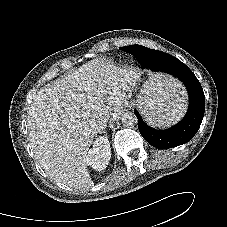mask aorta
<instances>
[{
    "instance_id": "obj_1",
    "label": "aorta",
    "mask_w": 227,
    "mask_h": 227,
    "mask_svg": "<svg viewBox=\"0 0 227 227\" xmlns=\"http://www.w3.org/2000/svg\"><path fill=\"white\" fill-rule=\"evenodd\" d=\"M122 124L126 127H133L137 124V117L133 112L126 111L120 116Z\"/></svg>"
}]
</instances>
